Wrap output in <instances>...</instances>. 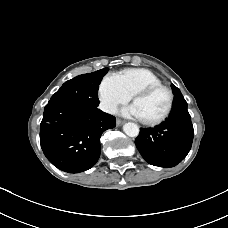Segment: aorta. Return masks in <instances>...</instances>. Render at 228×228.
Segmentation results:
<instances>
[{
	"instance_id": "obj_1",
	"label": "aorta",
	"mask_w": 228,
	"mask_h": 228,
	"mask_svg": "<svg viewBox=\"0 0 228 228\" xmlns=\"http://www.w3.org/2000/svg\"><path fill=\"white\" fill-rule=\"evenodd\" d=\"M123 131L129 137H137L139 134V127L133 122H128L123 125Z\"/></svg>"
}]
</instances>
